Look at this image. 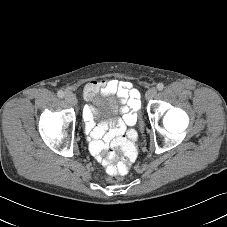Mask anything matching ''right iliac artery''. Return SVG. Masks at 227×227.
<instances>
[{
    "label": "right iliac artery",
    "instance_id": "right-iliac-artery-1",
    "mask_svg": "<svg viewBox=\"0 0 227 227\" xmlns=\"http://www.w3.org/2000/svg\"><path fill=\"white\" fill-rule=\"evenodd\" d=\"M58 97L63 98L65 96L64 92L62 90H59L57 92Z\"/></svg>",
    "mask_w": 227,
    "mask_h": 227
}]
</instances>
